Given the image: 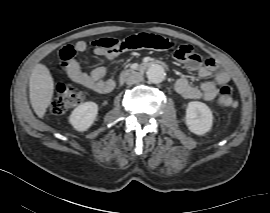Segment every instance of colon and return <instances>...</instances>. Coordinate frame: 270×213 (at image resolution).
Returning a JSON list of instances; mask_svg holds the SVG:
<instances>
[{
  "label": "colon",
  "instance_id": "5ec220e1",
  "mask_svg": "<svg viewBox=\"0 0 270 213\" xmlns=\"http://www.w3.org/2000/svg\"><path fill=\"white\" fill-rule=\"evenodd\" d=\"M126 49H149L155 52H162L175 45L169 40L153 34L141 33L129 36L121 41ZM187 44L176 46L174 58L177 61H183L185 55L189 52ZM191 59L196 63H207L208 59L198 53H191ZM62 66L68 67L67 61H63ZM84 98V94L78 88L67 84H59L55 88V96L51 104V110L56 114H63L76 107ZM217 104L223 108H232L236 105V91L231 85L221 87L216 99Z\"/></svg>",
  "mask_w": 270,
  "mask_h": 213
}]
</instances>
